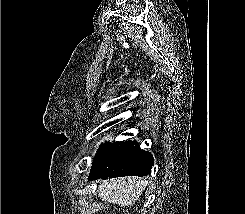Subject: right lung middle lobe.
<instances>
[{"instance_id": "dd1d6c3e", "label": "right lung middle lobe", "mask_w": 245, "mask_h": 214, "mask_svg": "<svg viewBox=\"0 0 245 214\" xmlns=\"http://www.w3.org/2000/svg\"><path fill=\"white\" fill-rule=\"evenodd\" d=\"M121 143L122 142L106 143L100 146L99 151L95 155L89 176L111 172L118 167L120 156L118 146Z\"/></svg>"}]
</instances>
